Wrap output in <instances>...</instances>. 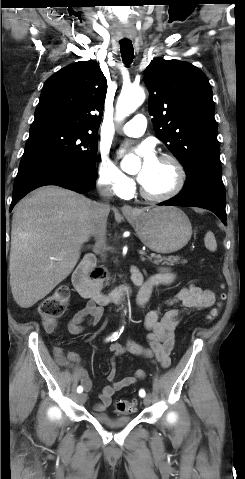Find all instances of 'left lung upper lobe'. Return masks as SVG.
I'll return each mask as SVG.
<instances>
[{
  "instance_id": "left-lung-upper-lobe-1",
  "label": "left lung upper lobe",
  "mask_w": 245,
  "mask_h": 479,
  "mask_svg": "<svg viewBox=\"0 0 245 479\" xmlns=\"http://www.w3.org/2000/svg\"><path fill=\"white\" fill-rule=\"evenodd\" d=\"M144 80L156 135L186 174L204 162L219 161L215 107L206 75L188 62L158 58L146 68Z\"/></svg>"
}]
</instances>
